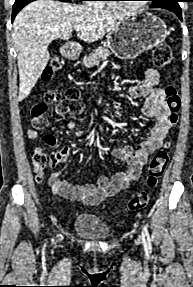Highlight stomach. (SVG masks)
Returning a JSON list of instances; mask_svg holds the SVG:
<instances>
[{
	"label": "stomach",
	"instance_id": "0dacf381",
	"mask_svg": "<svg viewBox=\"0 0 193 287\" xmlns=\"http://www.w3.org/2000/svg\"><path fill=\"white\" fill-rule=\"evenodd\" d=\"M167 34L163 20L149 12L138 11L110 32L107 46L116 57L131 60L164 42Z\"/></svg>",
	"mask_w": 193,
	"mask_h": 287
}]
</instances>
